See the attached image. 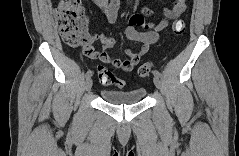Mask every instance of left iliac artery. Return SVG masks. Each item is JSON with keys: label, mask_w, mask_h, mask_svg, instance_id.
<instances>
[{"label": "left iliac artery", "mask_w": 239, "mask_h": 156, "mask_svg": "<svg viewBox=\"0 0 239 156\" xmlns=\"http://www.w3.org/2000/svg\"><path fill=\"white\" fill-rule=\"evenodd\" d=\"M153 74H154V76H158V77L161 76V73L158 70H154Z\"/></svg>", "instance_id": "44dca946"}]
</instances>
